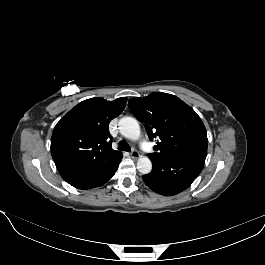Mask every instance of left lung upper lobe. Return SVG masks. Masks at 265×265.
Listing matches in <instances>:
<instances>
[{"label":"left lung upper lobe","mask_w":265,"mask_h":265,"mask_svg":"<svg viewBox=\"0 0 265 265\" xmlns=\"http://www.w3.org/2000/svg\"><path fill=\"white\" fill-rule=\"evenodd\" d=\"M128 106L144 124L149 139L157 136L154 154L149 157H168L175 154L207 150L205 126L198 114L178 97L154 92L144 98H132Z\"/></svg>","instance_id":"left-lung-upper-lobe-1"}]
</instances>
